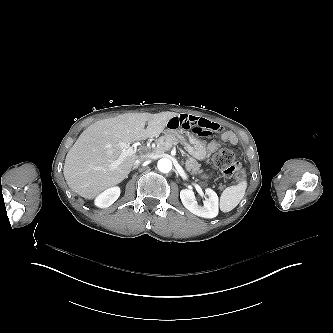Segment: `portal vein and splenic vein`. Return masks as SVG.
Listing matches in <instances>:
<instances>
[{
    "mask_svg": "<svg viewBox=\"0 0 333 333\" xmlns=\"http://www.w3.org/2000/svg\"><path fill=\"white\" fill-rule=\"evenodd\" d=\"M120 146L123 147V150L119 158L110 164L112 170L120 165L127 156L133 155L137 151V147L130 146L129 144L120 143Z\"/></svg>",
    "mask_w": 333,
    "mask_h": 333,
    "instance_id": "18ae733b",
    "label": "portal vein and splenic vein"
}]
</instances>
